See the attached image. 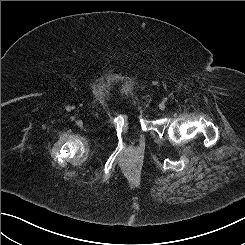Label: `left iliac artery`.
<instances>
[{
  "label": "left iliac artery",
  "instance_id": "44dca946",
  "mask_svg": "<svg viewBox=\"0 0 245 245\" xmlns=\"http://www.w3.org/2000/svg\"><path fill=\"white\" fill-rule=\"evenodd\" d=\"M164 101H167V98H164Z\"/></svg>",
  "mask_w": 245,
  "mask_h": 245
}]
</instances>
